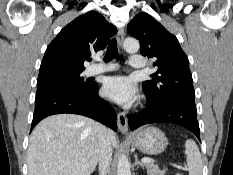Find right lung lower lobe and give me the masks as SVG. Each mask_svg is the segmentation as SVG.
<instances>
[{"mask_svg": "<svg viewBox=\"0 0 233 175\" xmlns=\"http://www.w3.org/2000/svg\"><path fill=\"white\" fill-rule=\"evenodd\" d=\"M61 113L87 116L117 130L115 111L98 96L97 83H92L85 90L49 91L36 96L31 129L43 118Z\"/></svg>", "mask_w": 233, "mask_h": 175, "instance_id": "obj_1", "label": "right lung lower lobe"}]
</instances>
